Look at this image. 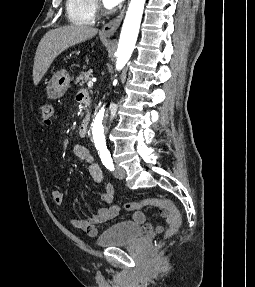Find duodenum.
Wrapping results in <instances>:
<instances>
[{
    "instance_id": "obj_1",
    "label": "duodenum",
    "mask_w": 255,
    "mask_h": 287,
    "mask_svg": "<svg viewBox=\"0 0 255 287\" xmlns=\"http://www.w3.org/2000/svg\"><path fill=\"white\" fill-rule=\"evenodd\" d=\"M78 100L82 102L88 109L91 107V97L90 95L83 91L78 95ZM89 124H90V114L85 115L83 120L81 121L79 127H78V133L80 137H86L88 130H89Z\"/></svg>"
}]
</instances>
